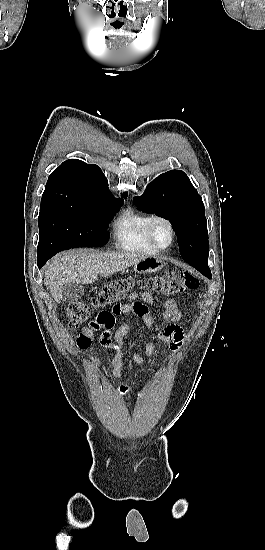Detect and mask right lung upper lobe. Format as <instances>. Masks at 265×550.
I'll return each mask as SVG.
<instances>
[{
	"label": "right lung upper lobe",
	"mask_w": 265,
	"mask_h": 550,
	"mask_svg": "<svg viewBox=\"0 0 265 550\" xmlns=\"http://www.w3.org/2000/svg\"><path fill=\"white\" fill-rule=\"evenodd\" d=\"M127 193L122 195L123 199ZM115 199L102 170L77 159L63 162L48 178L41 200Z\"/></svg>",
	"instance_id": "1"
}]
</instances>
